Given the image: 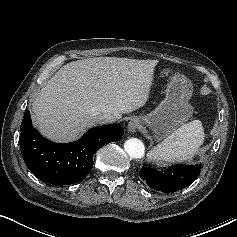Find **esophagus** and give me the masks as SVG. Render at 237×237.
Segmentation results:
<instances>
[{
    "label": "esophagus",
    "instance_id": "esophagus-1",
    "mask_svg": "<svg viewBox=\"0 0 237 237\" xmlns=\"http://www.w3.org/2000/svg\"><path fill=\"white\" fill-rule=\"evenodd\" d=\"M139 128V121L136 118H133L128 123V129L130 133H135Z\"/></svg>",
    "mask_w": 237,
    "mask_h": 237
}]
</instances>
